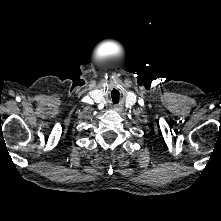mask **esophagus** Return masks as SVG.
<instances>
[{"mask_svg":"<svg viewBox=\"0 0 221 221\" xmlns=\"http://www.w3.org/2000/svg\"><path fill=\"white\" fill-rule=\"evenodd\" d=\"M114 109H115L116 111H119V110H120V108H119L118 106H114Z\"/></svg>","mask_w":221,"mask_h":221,"instance_id":"esophagus-1","label":"esophagus"}]
</instances>
